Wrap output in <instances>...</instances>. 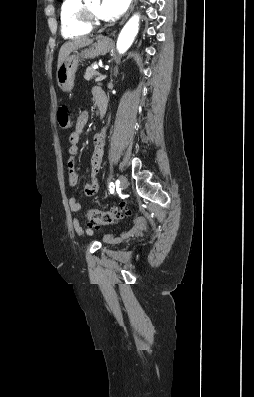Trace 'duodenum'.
Listing matches in <instances>:
<instances>
[{
	"mask_svg": "<svg viewBox=\"0 0 254 397\" xmlns=\"http://www.w3.org/2000/svg\"><path fill=\"white\" fill-rule=\"evenodd\" d=\"M97 106H98L100 115L103 116L107 109V97H106L105 93L98 98Z\"/></svg>",
	"mask_w": 254,
	"mask_h": 397,
	"instance_id": "410a0bca",
	"label": "duodenum"
}]
</instances>
